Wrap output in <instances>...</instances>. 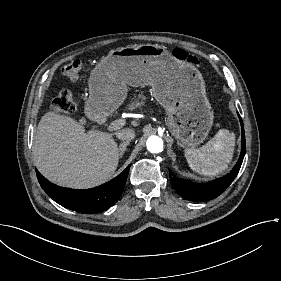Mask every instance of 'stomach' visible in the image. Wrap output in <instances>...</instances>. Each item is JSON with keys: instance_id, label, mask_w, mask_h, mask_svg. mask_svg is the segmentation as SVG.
Returning <instances> with one entry per match:
<instances>
[{"instance_id": "stomach-1", "label": "stomach", "mask_w": 281, "mask_h": 281, "mask_svg": "<svg viewBox=\"0 0 281 281\" xmlns=\"http://www.w3.org/2000/svg\"><path fill=\"white\" fill-rule=\"evenodd\" d=\"M88 85L84 112L92 121L112 114L125 100L127 86L150 85L179 146H198L212 128L214 114L202 74L165 47L146 44L111 50L91 71Z\"/></svg>"}]
</instances>
